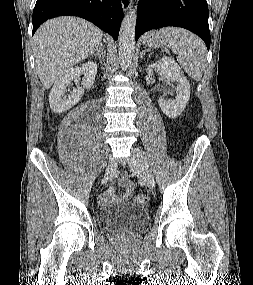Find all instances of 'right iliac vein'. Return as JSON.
<instances>
[{
    "label": "right iliac vein",
    "instance_id": "63e3f726",
    "mask_svg": "<svg viewBox=\"0 0 253 285\" xmlns=\"http://www.w3.org/2000/svg\"><path fill=\"white\" fill-rule=\"evenodd\" d=\"M117 168V162L116 161H111L108 165V167L106 168V175L103 179V183H106L108 181L109 178H111L113 176V174L115 173Z\"/></svg>",
    "mask_w": 253,
    "mask_h": 285
}]
</instances>
